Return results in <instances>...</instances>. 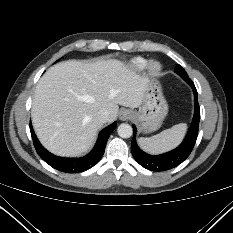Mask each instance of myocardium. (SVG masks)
<instances>
[{
	"instance_id": "f54148a6",
	"label": "myocardium",
	"mask_w": 233,
	"mask_h": 233,
	"mask_svg": "<svg viewBox=\"0 0 233 233\" xmlns=\"http://www.w3.org/2000/svg\"><path fill=\"white\" fill-rule=\"evenodd\" d=\"M148 70L152 75H157L161 71V65L156 61H151L148 65Z\"/></svg>"
}]
</instances>
